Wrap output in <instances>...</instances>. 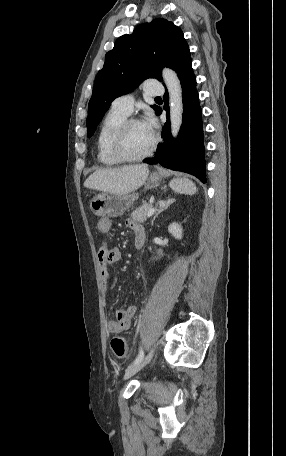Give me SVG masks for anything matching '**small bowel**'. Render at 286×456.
<instances>
[{"label": "small bowel", "instance_id": "1", "mask_svg": "<svg viewBox=\"0 0 286 456\" xmlns=\"http://www.w3.org/2000/svg\"><path fill=\"white\" fill-rule=\"evenodd\" d=\"M127 225L133 229L135 238L145 234L143 227L132 219L127 220ZM112 221L109 218H101L98 221V230L102 234L111 231ZM98 262L105 293L113 288V282L109 275L108 266L121 259V251L118 248H110L106 242H102L98 251ZM137 313V306L130 305L125 309H117L115 319L107 323V330L111 334H118L130 328L131 322Z\"/></svg>", "mask_w": 286, "mask_h": 456}]
</instances>
